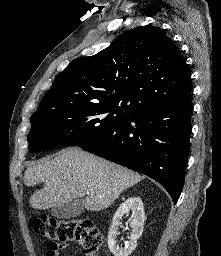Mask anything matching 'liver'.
I'll use <instances>...</instances> for the list:
<instances>
[{"mask_svg": "<svg viewBox=\"0 0 221 256\" xmlns=\"http://www.w3.org/2000/svg\"><path fill=\"white\" fill-rule=\"evenodd\" d=\"M142 179L134 171L76 147L30 166L24 174L26 186L44 184L29 199L30 206L38 210L69 204L90 193L82 200L83 206L89 211H101Z\"/></svg>", "mask_w": 221, "mask_h": 256, "instance_id": "6515ba94", "label": "liver"}]
</instances>
